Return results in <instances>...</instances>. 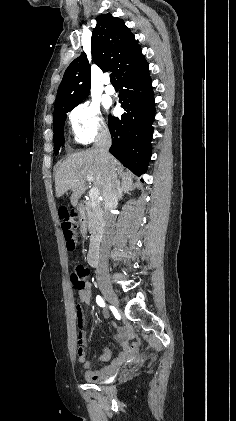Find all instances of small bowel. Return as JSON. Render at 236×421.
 <instances>
[{
	"instance_id": "c3829d8e",
	"label": "small bowel",
	"mask_w": 236,
	"mask_h": 421,
	"mask_svg": "<svg viewBox=\"0 0 236 421\" xmlns=\"http://www.w3.org/2000/svg\"><path fill=\"white\" fill-rule=\"evenodd\" d=\"M91 300V289L89 286H87L84 290L79 291V304L77 305L78 310V319H79V325H82V314H81V306L83 304H88ZM85 341V333L80 330L79 332V342L83 344ZM109 358V352L104 353ZM80 361L83 364L84 368H89V362L85 357V351L82 353V355H79ZM86 377L89 378V371L86 372Z\"/></svg>"
}]
</instances>
